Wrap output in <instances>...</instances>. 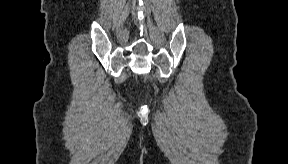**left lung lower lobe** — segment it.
Returning a JSON list of instances; mask_svg holds the SVG:
<instances>
[{"label": "left lung lower lobe", "mask_w": 288, "mask_h": 164, "mask_svg": "<svg viewBox=\"0 0 288 164\" xmlns=\"http://www.w3.org/2000/svg\"><path fill=\"white\" fill-rule=\"evenodd\" d=\"M252 78L256 80V87L260 91L266 84V77L264 73L261 71H258L257 73H250L248 80Z\"/></svg>", "instance_id": "1"}]
</instances>
